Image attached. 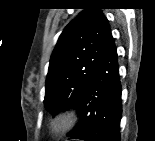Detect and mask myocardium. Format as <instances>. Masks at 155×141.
Segmentation results:
<instances>
[{"label":"myocardium","instance_id":"f54148a6","mask_svg":"<svg viewBox=\"0 0 155 141\" xmlns=\"http://www.w3.org/2000/svg\"><path fill=\"white\" fill-rule=\"evenodd\" d=\"M68 121L65 116L58 115L50 123V132L53 134L61 132L67 126Z\"/></svg>","mask_w":155,"mask_h":141}]
</instances>
